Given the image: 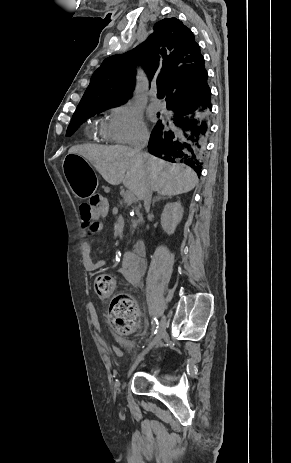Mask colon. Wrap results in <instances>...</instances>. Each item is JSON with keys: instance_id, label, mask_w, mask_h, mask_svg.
<instances>
[{"instance_id": "obj_1", "label": "colon", "mask_w": 291, "mask_h": 463, "mask_svg": "<svg viewBox=\"0 0 291 463\" xmlns=\"http://www.w3.org/2000/svg\"><path fill=\"white\" fill-rule=\"evenodd\" d=\"M81 211L89 219L94 217H107L106 202L101 196H94L90 202L80 207ZM116 283L109 274H102L95 278L94 290L99 298H112L109 305V318L115 330L122 334L133 332L138 323V309L136 304L128 297L114 296Z\"/></svg>"}]
</instances>
